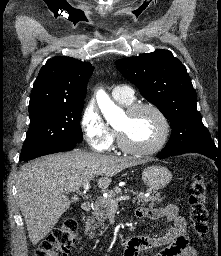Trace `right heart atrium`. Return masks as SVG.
Instances as JSON below:
<instances>
[{
  "label": "right heart atrium",
  "mask_w": 221,
  "mask_h": 256,
  "mask_svg": "<svg viewBox=\"0 0 221 256\" xmlns=\"http://www.w3.org/2000/svg\"><path fill=\"white\" fill-rule=\"evenodd\" d=\"M80 127L86 142L95 150H108L115 138L94 102H88L80 116Z\"/></svg>",
  "instance_id": "1"
}]
</instances>
